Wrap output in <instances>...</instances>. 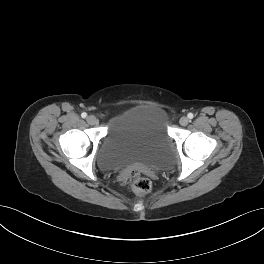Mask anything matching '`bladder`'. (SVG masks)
I'll return each instance as SVG.
<instances>
[{
	"label": "bladder",
	"instance_id": "1",
	"mask_svg": "<svg viewBox=\"0 0 264 264\" xmlns=\"http://www.w3.org/2000/svg\"><path fill=\"white\" fill-rule=\"evenodd\" d=\"M173 157L166 113L154 106H138L123 114L108 129L98 151L102 171L129 166L162 168Z\"/></svg>",
	"mask_w": 264,
	"mask_h": 264
}]
</instances>
